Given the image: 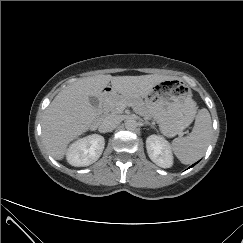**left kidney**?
<instances>
[{"instance_id": "obj_1", "label": "left kidney", "mask_w": 243, "mask_h": 243, "mask_svg": "<svg viewBox=\"0 0 243 243\" xmlns=\"http://www.w3.org/2000/svg\"><path fill=\"white\" fill-rule=\"evenodd\" d=\"M146 149L149 158L162 168H170L173 165V155L170 144L163 137L150 135L146 139Z\"/></svg>"}]
</instances>
